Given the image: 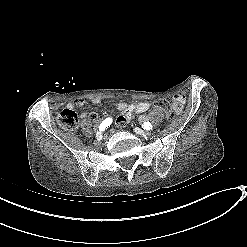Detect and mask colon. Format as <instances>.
Here are the masks:
<instances>
[{
  "label": "colon",
  "instance_id": "1",
  "mask_svg": "<svg viewBox=\"0 0 247 247\" xmlns=\"http://www.w3.org/2000/svg\"><path fill=\"white\" fill-rule=\"evenodd\" d=\"M155 108L164 112L168 117L172 115V105L165 100H158ZM58 123L69 130L76 129L79 126L78 114L69 108L63 109L57 114Z\"/></svg>",
  "mask_w": 247,
  "mask_h": 247
}]
</instances>
